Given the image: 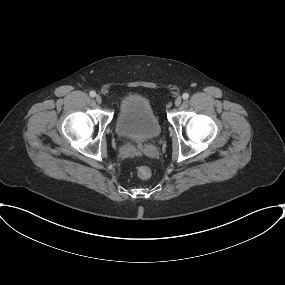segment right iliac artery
Instances as JSON below:
<instances>
[{"label": "right iliac artery", "mask_w": 285, "mask_h": 285, "mask_svg": "<svg viewBox=\"0 0 285 285\" xmlns=\"http://www.w3.org/2000/svg\"><path fill=\"white\" fill-rule=\"evenodd\" d=\"M89 94H90L91 97H95L96 96L95 91H91Z\"/></svg>", "instance_id": "82829eb1"}]
</instances>
